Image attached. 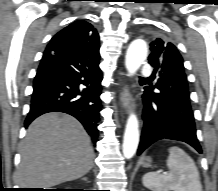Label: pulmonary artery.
I'll use <instances>...</instances> for the list:
<instances>
[{
  "instance_id": "obj_1",
  "label": "pulmonary artery",
  "mask_w": 218,
  "mask_h": 191,
  "mask_svg": "<svg viewBox=\"0 0 218 191\" xmlns=\"http://www.w3.org/2000/svg\"><path fill=\"white\" fill-rule=\"evenodd\" d=\"M152 74V68L149 65H145L141 69V75L145 77H149Z\"/></svg>"
}]
</instances>
